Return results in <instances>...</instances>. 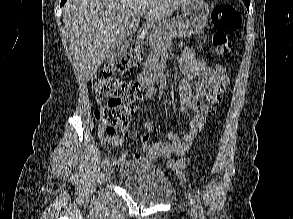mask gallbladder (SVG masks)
Here are the masks:
<instances>
[{
  "mask_svg": "<svg viewBox=\"0 0 293 219\" xmlns=\"http://www.w3.org/2000/svg\"><path fill=\"white\" fill-rule=\"evenodd\" d=\"M131 41H132V37L130 36H124V35L117 36L109 50L107 61L110 63H114L122 59Z\"/></svg>",
  "mask_w": 293,
  "mask_h": 219,
  "instance_id": "bac80fb5",
  "label": "gallbladder"
}]
</instances>
